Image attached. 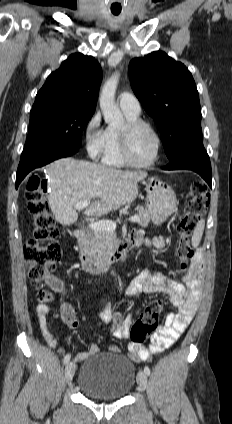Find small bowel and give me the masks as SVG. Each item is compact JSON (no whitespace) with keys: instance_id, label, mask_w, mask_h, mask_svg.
<instances>
[{"instance_id":"small-bowel-1","label":"small bowel","mask_w":232,"mask_h":424,"mask_svg":"<svg viewBox=\"0 0 232 424\" xmlns=\"http://www.w3.org/2000/svg\"><path fill=\"white\" fill-rule=\"evenodd\" d=\"M133 236L138 237L140 245H145L155 249L166 247V241L163 238H154L152 240L144 239L139 232H132ZM203 273V262L200 255L194 258L191 268L182 276V283L174 279L161 276L158 273L145 271L138 275L126 288L125 295L128 298H134L141 293L163 294L166 295L170 303L178 311L167 314L164 323L151 337L149 346L129 343V356L134 362L148 360L152 355L161 353L172 347L176 340L186 330L192 321L199 305L201 293V279ZM53 290L60 294L66 292L65 286L61 280L53 279L51 282ZM36 317L41 328L42 335L50 347L57 345V338L51 331L48 315L49 308L46 304L40 303L35 308ZM62 320L71 328L78 326L73 307L70 304H63L60 312ZM103 322L111 325V334L121 340L128 339L129 329L132 323L130 316L124 318L119 312H113L108 307L101 313ZM110 352L119 353L117 345L109 347ZM97 344H91L88 352H80L76 355L77 361H83L89 355L99 353Z\"/></svg>"}]
</instances>
